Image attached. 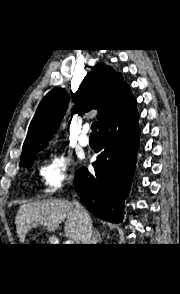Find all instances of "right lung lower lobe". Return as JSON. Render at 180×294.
I'll return each instance as SVG.
<instances>
[{"label": "right lung lower lobe", "mask_w": 180, "mask_h": 294, "mask_svg": "<svg viewBox=\"0 0 180 294\" xmlns=\"http://www.w3.org/2000/svg\"><path fill=\"white\" fill-rule=\"evenodd\" d=\"M136 99L108 117L99 127L95 174L80 168L74 184L86 207L96 217L112 223L122 221L139 149Z\"/></svg>", "instance_id": "obj_1"}]
</instances>
